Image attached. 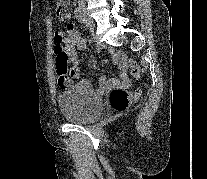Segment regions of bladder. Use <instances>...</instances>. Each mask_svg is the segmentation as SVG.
<instances>
[{
	"mask_svg": "<svg viewBox=\"0 0 207 179\" xmlns=\"http://www.w3.org/2000/svg\"><path fill=\"white\" fill-rule=\"evenodd\" d=\"M61 114L72 123H88L103 112L102 99L96 94L91 83L82 80L57 97Z\"/></svg>",
	"mask_w": 207,
	"mask_h": 179,
	"instance_id": "bladder-1",
	"label": "bladder"
}]
</instances>
